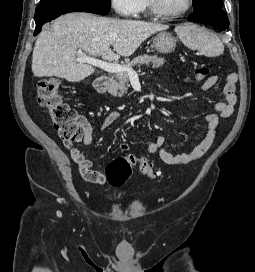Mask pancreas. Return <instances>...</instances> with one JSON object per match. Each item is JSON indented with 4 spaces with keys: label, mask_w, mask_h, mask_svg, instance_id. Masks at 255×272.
I'll return each instance as SVG.
<instances>
[{
    "label": "pancreas",
    "mask_w": 255,
    "mask_h": 272,
    "mask_svg": "<svg viewBox=\"0 0 255 272\" xmlns=\"http://www.w3.org/2000/svg\"><path fill=\"white\" fill-rule=\"evenodd\" d=\"M165 63L163 58L149 55H141L135 57L131 62L127 63L125 66L134 67L135 65H149L152 64L154 68L162 67ZM116 82L112 84L110 87V92L112 94H118V96H123L127 92V88L129 87V77L127 72H119L115 74Z\"/></svg>",
    "instance_id": "cf45deb5"
}]
</instances>
